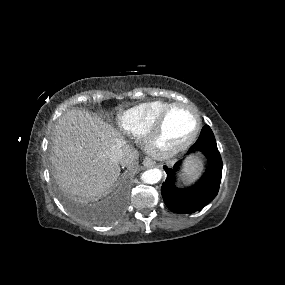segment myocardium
I'll use <instances>...</instances> for the list:
<instances>
[{"mask_svg": "<svg viewBox=\"0 0 285 285\" xmlns=\"http://www.w3.org/2000/svg\"><path fill=\"white\" fill-rule=\"evenodd\" d=\"M185 108L190 110L196 117V127L193 133L183 142L175 146L163 147L159 144V138L162 134L164 124L169 114L176 108ZM202 130V119L199 111L190 104L177 102L167 107L157 118L152 127L143 138V146L147 153L159 160L170 159L177 154L189 148L198 138Z\"/></svg>", "mask_w": 285, "mask_h": 285, "instance_id": "1", "label": "myocardium"}]
</instances>
